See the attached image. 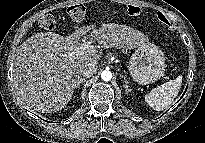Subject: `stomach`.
<instances>
[{"instance_id": "obj_1", "label": "stomach", "mask_w": 205, "mask_h": 143, "mask_svg": "<svg viewBox=\"0 0 205 143\" xmlns=\"http://www.w3.org/2000/svg\"><path fill=\"white\" fill-rule=\"evenodd\" d=\"M129 71L134 81L139 84L154 83L165 72L163 52L151 43L139 46L130 58Z\"/></svg>"}]
</instances>
